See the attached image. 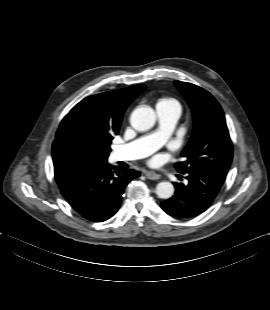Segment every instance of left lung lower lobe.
<instances>
[{
  "instance_id": "0a47b994",
  "label": "left lung lower lobe",
  "mask_w": 270,
  "mask_h": 310,
  "mask_svg": "<svg viewBox=\"0 0 270 310\" xmlns=\"http://www.w3.org/2000/svg\"><path fill=\"white\" fill-rule=\"evenodd\" d=\"M187 185L174 182L175 195L161 203L162 209L177 218L195 217L207 210L219 193L225 177L193 170L184 173Z\"/></svg>"
}]
</instances>
